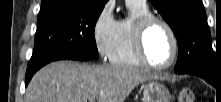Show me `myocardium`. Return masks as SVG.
<instances>
[{"mask_svg":"<svg viewBox=\"0 0 221 102\" xmlns=\"http://www.w3.org/2000/svg\"><path fill=\"white\" fill-rule=\"evenodd\" d=\"M155 24H160L165 27L173 41V55L169 62L163 65H156L152 63L147 56L145 48L146 34L148 30ZM132 44L138 61L142 65L154 70L168 69L175 63L179 55V40L173 27L165 19L151 14L142 16L134 22L132 30Z\"/></svg>","mask_w":221,"mask_h":102,"instance_id":"myocardium-1","label":"myocardium"}]
</instances>
